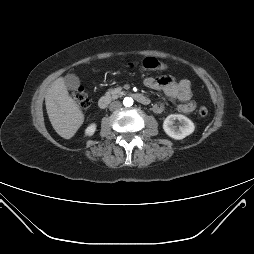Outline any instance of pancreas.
Instances as JSON below:
<instances>
[{"mask_svg": "<svg viewBox=\"0 0 254 254\" xmlns=\"http://www.w3.org/2000/svg\"><path fill=\"white\" fill-rule=\"evenodd\" d=\"M107 94H110L114 97L123 94L122 88H113V89H109Z\"/></svg>", "mask_w": 254, "mask_h": 254, "instance_id": "1", "label": "pancreas"}]
</instances>
